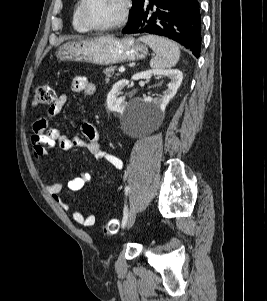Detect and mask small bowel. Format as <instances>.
I'll return each mask as SVG.
<instances>
[{
	"mask_svg": "<svg viewBox=\"0 0 267 301\" xmlns=\"http://www.w3.org/2000/svg\"><path fill=\"white\" fill-rule=\"evenodd\" d=\"M70 86L73 92L82 93L85 96H92L96 90L95 85L84 76L73 77ZM67 101L68 94L63 93L59 95L47 114L34 122L31 143L36 160L41 163L47 157L49 150L56 147L63 151L71 150L74 147H85L96 159L104 160L115 169L121 170L123 168L122 160L103 149L99 132L93 124L84 122L81 125L83 137H68L62 134L59 129L51 126L52 118L61 111ZM91 179L92 176L88 171H81L79 175L71 178L67 185L69 190L79 191ZM61 189V183L56 180L46 185L47 192L60 207L67 211L69 210V205L60 196ZM72 217L76 223L85 227H91L95 224V216L93 214L84 215L79 211H74Z\"/></svg>",
	"mask_w": 267,
	"mask_h": 301,
	"instance_id": "1",
	"label": "small bowel"
}]
</instances>
